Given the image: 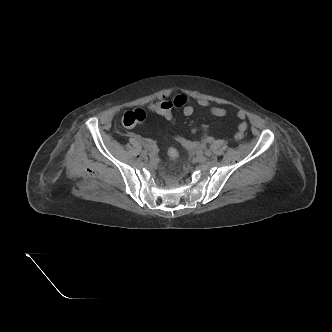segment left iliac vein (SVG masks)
<instances>
[{
    "instance_id": "left-iliac-vein-1",
    "label": "left iliac vein",
    "mask_w": 332,
    "mask_h": 332,
    "mask_svg": "<svg viewBox=\"0 0 332 332\" xmlns=\"http://www.w3.org/2000/svg\"><path fill=\"white\" fill-rule=\"evenodd\" d=\"M196 160H197V162H199V163H204V162H206L207 157L204 156L203 154H198V155L196 156Z\"/></svg>"
}]
</instances>
